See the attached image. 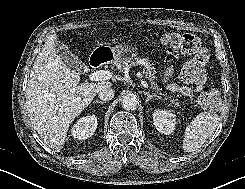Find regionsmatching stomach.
I'll list each match as a JSON object with an SVG mask.
<instances>
[{
  "label": "stomach",
  "mask_w": 245,
  "mask_h": 189,
  "mask_svg": "<svg viewBox=\"0 0 245 189\" xmlns=\"http://www.w3.org/2000/svg\"><path fill=\"white\" fill-rule=\"evenodd\" d=\"M97 50L111 53V59L117 61L122 55L130 52L131 47L129 46V44L119 42L115 44L113 47L99 46L97 47Z\"/></svg>",
  "instance_id": "1"
}]
</instances>
